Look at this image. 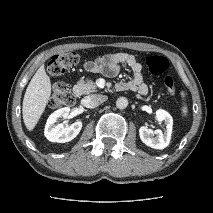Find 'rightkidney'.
<instances>
[{
    "label": "right kidney",
    "mask_w": 213,
    "mask_h": 213,
    "mask_svg": "<svg viewBox=\"0 0 213 213\" xmlns=\"http://www.w3.org/2000/svg\"><path fill=\"white\" fill-rule=\"evenodd\" d=\"M70 108L64 107L53 112L45 125V137L51 142L65 143L73 140L82 128V122L77 121L71 126L65 127L62 123L55 124L60 117L69 116Z\"/></svg>",
    "instance_id": "obj_1"
}]
</instances>
